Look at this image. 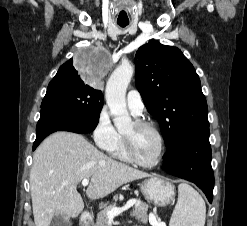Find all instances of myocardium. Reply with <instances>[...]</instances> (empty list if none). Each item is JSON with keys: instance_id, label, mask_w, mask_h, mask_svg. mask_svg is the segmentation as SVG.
Listing matches in <instances>:
<instances>
[{"instance_id": "obj_1", "label": "myocardium", "mask_w": 247, "mask_h": 226, "mask_svg": "<svg viewBox=\"0 0 247 226\" xmlns=\"http://www.w3.org/2000/svg\"><path fill=\"white\" fill-rule=\"evenodd\" d=\"M132 124L135 128L151 129L157 135V137L159 139L160 151H159V155L155 161H153L151 163H146V162L141 161L136 156V154L134 152L133 144H132V138H131L130 134L123 132V134H122L123 135V144H124V149H125L127 157L129 158V160L131 162L135 163L138 166L144 167V168H154V167L158 166L162 162L164 155H165V151H166L165 139H164L162 132L154 123H152L150 121L137 119V120L133 121Z\"/></svg>"}]
</instances>
